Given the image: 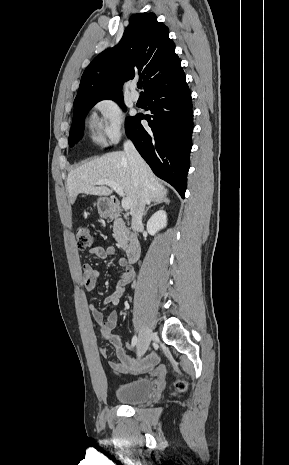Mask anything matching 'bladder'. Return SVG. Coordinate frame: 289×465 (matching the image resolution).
<instances>
[{"mask_svg":"<svg viewBox=\"0 0 289 465\" xmlns=\"http://www.w3.org/2000/svg\"><path fill=\"white\" fill-rule=\"evenodd\" d=\"M152 387L151 379L138 378L118 386L115 395L124 404H141L149 399Z\"/></svg>","mask_w":289,"mask_h":465,"instance_id":"31cf9c89","label":"bladder"}]
</instances>
